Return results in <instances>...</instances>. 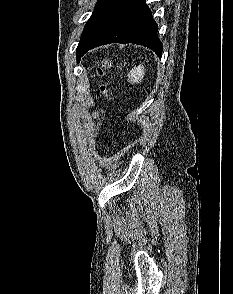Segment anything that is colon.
Returning <instances> with one entry per match:
<instances>
[{"mask_svg":"<svg viewBox=\"0 0 233 294\" xmlns=\"http://www.w3.org/2000/svg\"><path fill=\"white\" fill-rule=\"evenodd\" d=\"M110 67V63L108 60H104L101 62V64L98 66L97 68V74L100 77H104L106 71L108 70V68ZM107 93H108V83L103 82L99 88H98V92H97V96L99 98H106L107 97ZM94 118L97 117V113L96 112H92L91 114Z\"/></svg>","mask_w":233,"mask_h":294,"instance_id":"1","label":"colon"}]
</instances>
